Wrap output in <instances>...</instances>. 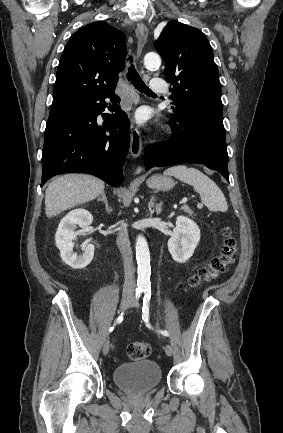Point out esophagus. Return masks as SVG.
I'll use <instances>...</instances> for the list:
<instances>
[{
    "label": "esophagus",
    "instance_id": "1",
    "mask_svg": "<svg viewBox=\"0 0 283 433\" xmlns=\"http://www.w3.org/2000/svg\"><path fill=\"white\" fill-rule=\"evenodd\" d=\"M136 37H137V57L141 56L143 47L146 43L147 36H148V29L144 23H139L137 25V28L135 30ZM142 150V139L140 131L138 130L136 125H132L131 129V139H130V152L131 155L134 158H137L140 155V152ZM142 170V167H139L137 169V172H140Z\"/></svg>",
    "mask_w": 283,
    "mask_h": 433
}]
</instances>
